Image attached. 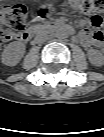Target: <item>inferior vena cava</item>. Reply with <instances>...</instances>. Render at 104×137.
Returning a JSON list of instances; mask_svg holds the SVG:
<instances>
[{
    "label": "inferior vena cava",
    "mask_w": 104,
    "mask_h": 137,
    "mask_svg": "<svg viewBox=\"0 0 104 137\" xmlns=\"http://www.w3.org/2000/svg\"><path fill=\"white\" fill-rule=\"evenodd\" d=\"M36 40L39 43L45 44V43H47L48 38L45 35L39 34V35H37Z\"/></svg>",
    "instance_id": "inferior-vena-cava-1"
}]
</instances>
